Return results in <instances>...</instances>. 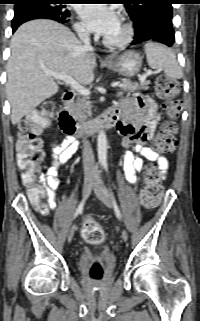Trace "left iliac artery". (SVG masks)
<instances>
[{"label": "left iliac artery", "mask_w": 200, "mask_h": 321, "mask_svg": "<svg viewBox=\"0 0 200 321\" xmlns=\"http://www.w3.org/2000/svg\"><path fill=\"white\" fill-rule=\"evenodd\" d=\"M103 166H104L105 170H107V164L104 163ZM111 196H112V199H113L116 216H117L119 219H121L122 216H121L120 210H119V208H118V206H117V204H116V201H115V198H114V195H113L112 192H111Z\"/></svg>", "instance_id": "44dca946"}]
</instances>
